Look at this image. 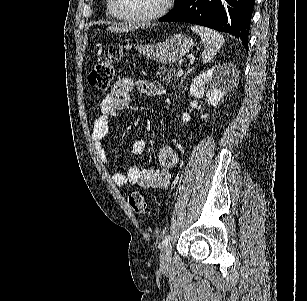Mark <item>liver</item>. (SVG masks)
I'll return each mask as SVG.
<instances>
[{"label": "liver", "mask_w": 307, "mask_h": 301, "mask_svg": "<svg viewBox=\"0 0 307 301\" xmlns=\"http://www.w3.org/2000/svg\"><path fill=\"white\" fill-rule=\"evenodd\" d=\"M141 24H127V22H111V26H107L106 30L110 32H129V30H137Z\"/></svg>", "instance_id": "6515ba94"}]
</instances>
